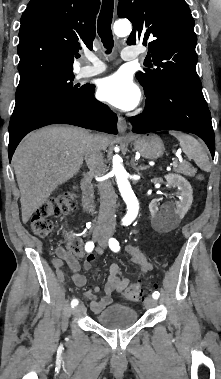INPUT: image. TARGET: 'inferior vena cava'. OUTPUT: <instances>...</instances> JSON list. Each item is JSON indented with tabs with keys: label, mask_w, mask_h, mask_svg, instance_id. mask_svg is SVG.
Wrapping results in <instances>:
<instances>
[{
	"label": "inferior vena cava",
	"mask_w": 221,
	"mask_h": 379,
	"mask_svg": "<svg viewBox=\"0 0 221 379\" xmlns=\"http://www.w3.org/2000/svg\"><path fill=\"white\" fill-rule=\"evenodd\" d=\"M85 161L89 168V174L93 177L102 176L106 172L101 147L96 136L90 135L85 150ZM100 192V210L97 220V229L113 230L116 225L115 207L116 194L110 181L98 184Z\"/></svg>",
	"instance_id": "1"
}]
</instances>
